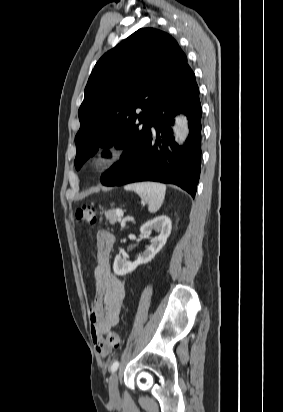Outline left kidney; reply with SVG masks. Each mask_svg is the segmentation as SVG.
I'll return each mask as SVG.
<instances>
[{
	"label": "left kidney",
	"instance_id": "obj_1",
	"mask_svg": "<svg viewBox=\"0 0 283 412\" xmlns=\"http://www.w3.org/2000/svg\"><path fill=\"white\" fill-rule=\"evenodd\" d=\"M171 228V220L165 215L158 216L146 222L140 228L141 234L143 236H149L151 231L155 230L159 233L158 236L151 241V245L147 250L134 262L128 261L125 256L117 255L113 264L114 273L120 276L126 275L133 272L139 265L150 262L166 244L167 238L171 233Z\"/></svg>",
	"mask_w": 283,
	"mask_h": 412
}]
</instances>
